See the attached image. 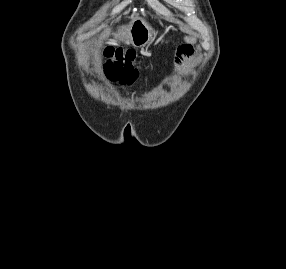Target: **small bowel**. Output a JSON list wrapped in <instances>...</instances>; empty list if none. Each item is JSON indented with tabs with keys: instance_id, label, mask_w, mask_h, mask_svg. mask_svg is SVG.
<instances>
[{
	"instance_id": "small-bowel-1",
	"label": "small bowel",
	"mask_w": 286,
	"mask_h": 269,
	"mask_svg": "<svg viewBox=\"0 0 286 269\" xmlns=\"http://www.w3.org/2000/svg\"><path fill=\"white\" fill-rule=\"evenodd\" d=\"M193 56H194V48L192 46L191 41L178 48L173 63L174 64L173 76L175 78H178L182 74L188 62L193 58Z\"/></svg>"
}]
</instances>
